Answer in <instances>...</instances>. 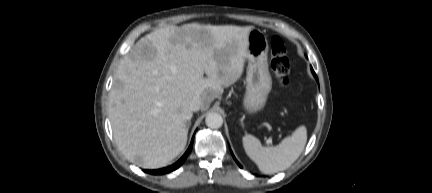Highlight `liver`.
I'll use <instances>...</instances> for the list:
<instances>
[{
    "instance_id": "6515ba94",
    "label": "liver",
    "mask_w": 432,
    "mask_h": 193,
    "mask_svg": "<svg viewBox=\"0 0 432 193\" xmlns=\"http://www.w3.org/2000/svg\"><path fill=\"white\" fill-rule=\"evenodd\" d=\"M251 26H167L142 37L125 55L109 93L114 140L132 163L157 169L187 143L199 96L203 111L242 75ZM204 73L206 77H204Z\"/></svg>"
}]
</instances>
